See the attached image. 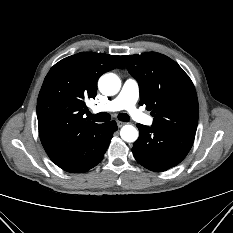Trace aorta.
I'll return each mask as SVG.
<instances>
[{"label":"aorta","instance_id":"obj_1","mask_svg":"<svg viewBox=\"0 0 233 233\" xmlns=\"http://www.w3.org/2000/svg\"><path fill=\"white\" fill-rule=\"evenodd\" d=\"M98 87L104 95H115L120 90L121 81L117 75L107 73L100 77ZM120 136L126 142H134L138 138V131L132 125H125L121 128Z\"/></svg>","mask_w":233,"mask_h":233}]
</instances>
